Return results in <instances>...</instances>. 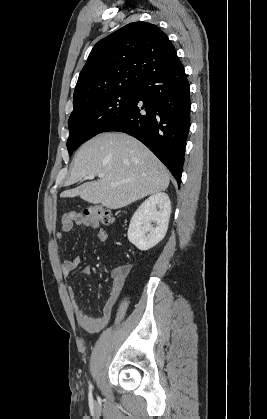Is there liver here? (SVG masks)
Returning <instances> with one entry per match:
<instances>
[{"mask_svg":"<svg viewBox=\"0 0 267 419\" xmlns=\"http://www.w3.org/2000/svg\"><path fill=\"white\" fill-rule=\"evenodd\" d=\"M104 174L61 197L80 196L91 204L108 209L125 207L141 198L167 189L170 175L166 167L140 141L124 133H103L81 146L66 185L88 175ZM112 182L118 185L111 186Z\"/></svg>","mask_w":267,"mask_h":419,"instance_id":"1","label":"liver"}]
</instances>
